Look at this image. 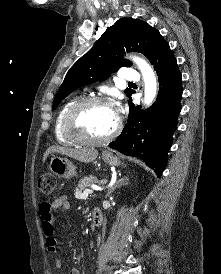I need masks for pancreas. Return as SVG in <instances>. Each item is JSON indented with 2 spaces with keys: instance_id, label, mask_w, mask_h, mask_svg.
Here are the masks:
<instances>
[{
  "instance_id": "cf45deb5",
  "label": "pancreas",
  "mask_w": 221,
  "mask_h": 274,
  "mask_svg": "<svg viewBox=\"0 0 221 274\" xmlns=\"http://www.w3.org/2000/svg\"><path fill=\"white\" fill-rule=\"evenodd\" d=\"M105 181H98L97 179H95L94 177L92 176H89V177H84L83 179H81L79 182H78V188H77V192L76 194L78 196L81 195V192L84 190V189H87L88 187H90V185L92 183H104Z\"/></svg>"
}]
</instances>
